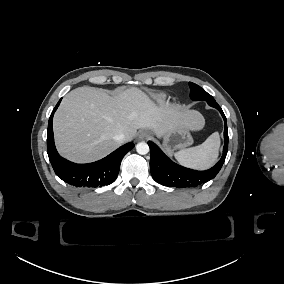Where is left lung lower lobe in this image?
Masks as SVG:
<instances>
[{
	"mask_svg": "<svg viewBox=\"0 0 284 284\" xmlns=\"http://www.w3.org/2000/svg\"><path fill=\"white\" fill-rule=\"evenodd\" d=\"M210 106L216 108L222 115L225 122L224 138L225 144L223 155L219 162L212 168L205 171H196L184 168L172 162L160 148L149 141L148 145L151 151L150 171L154 180L168 187H197L213 179L220 171L228 151V129L226 117L216 101L207 102Z\"/></svg>",
	"mask_w": 284,
	"mask_h": 284,
	"instance_id": "1",
	"label": "left lung lower lobe"
}]
</instances>
